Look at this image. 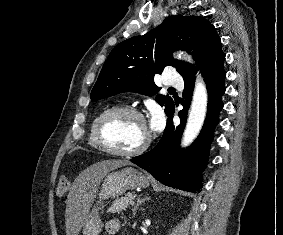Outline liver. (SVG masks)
Returning a JSON list of instances; mask_svg holds the SVG:
<instances>
[{"label": "liver", "mask_w": 283, "mask_h": 235, "mask_svg": "<svg viewBox=\"0 0 283 235\" xmlns=\"http://www.w3.org/2000/svg\"><path fill=\"white\" fill-rule=\"evenodd\" d=\"M128 164L129 162L122 160H104L91 165L79 174L67 198L65 212L67 235H78L104 176Z\"/></svg>", "instance_id": "liver-1"}]
</instances>
